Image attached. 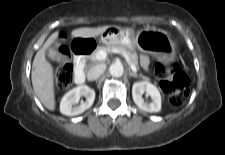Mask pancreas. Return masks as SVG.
I'll list each match as a JSON object with an SVG mask.
<instances>
[{
    "label": "pancreas",
    "instance_id": "cf45deb5",
    "mask_svg": "<svg viewBox=\"0 0 225 155\" xmlns=\"http://www.w3.org/2000/svg\"><path fill=\"white\" fill-rule=\"evenodd\" d=\"M112 49H117L120 51V53L125 57V58H128L129 61L136 66V68H138V55L135 51L133 50H130L128 48H126L125 46L121 45V44H110V45H107V46H99L95 51L94 53L89 56V58L91 60H96V53L98 51H106V52H109L111 51ZM142 76V75H141ZM143 79L147 80L146 77L142 76Z\"/></svg>",
    "mask_w": 225,
    "mask_h": 155
}]
</instances>
